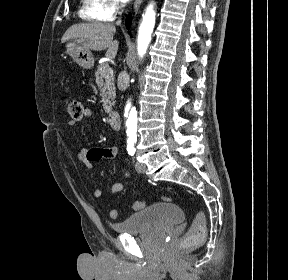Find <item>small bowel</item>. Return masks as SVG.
Returning <instances> with one entry per match:
<instances>
[{
  "label": "small bowel",
  "instance_id": "obj_1",
  "mask_svg": "<svg viewBox=\"0 0 288 280\" xmlns=\"http://www.w3.org/2000/svg\"><path fill=\"white\" fill-rule=\"evenodd\" d=\"M83 116L85 117H94L95 113L89 109L84 108ZM76 124V120H70L68 122L69 126H74ZM120 155V150L117 147H96V148H82L78 154V159L84 163L88 168L93 167V162L101 159H115ZM124 175L129 177L128 170L124 169ZM124 189V185L120 182L114 183L110 188V194L115 195L122 192ZM92 195L96 198L101 197L102 190L100 188H94L92 190Z\"/></svg>",
  "mask_w": 288,
  "mask_h": 280
}]
</instances>
